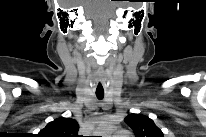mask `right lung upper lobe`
Segmentation results:
<instances>
[{
  "mask_svg": "<svg viewBox=\"0 0 206 137\" xmlns=\"http://www.w3.org/2000/svg\"><path fill=\"white\" fill-rule=\"evenodd\" d=\"M79 125L72 118H58L39 132L41 137H77Z\"/></svg>",
  "mask_w": 206,
  "mask_h": 137,
  "instance_id": "1",
  "label": "right lung upper lobe"
}]
</instances>
